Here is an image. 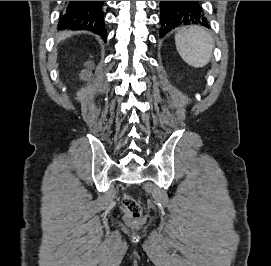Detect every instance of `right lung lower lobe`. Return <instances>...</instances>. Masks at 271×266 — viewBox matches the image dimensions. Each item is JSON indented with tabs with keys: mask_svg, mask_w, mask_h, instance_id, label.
Returning a JSON list of instances; mask_svg holds the SVG:
<instances>
[{
	"mask_svg": "<svg viewBox=\"0 0 271 266\" xmlns=\"http://www.w3.org/2000/svg\"><path fill=\"white\" fill-rule=\"evenodd\" d=\"M104 1H69L58 27L88 30L107 38L102 5Z\"/></svg>",
	"mask_w": 271,
	"mask_h": 266,
	"instance_id": "1",
	"label": "right lung lower lobe"
}]
</instances>
